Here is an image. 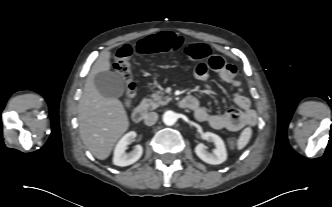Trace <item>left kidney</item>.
I'll list each match as a JSON object with an SVG mask.
<instances>
[{
    "label": "left kidney",
    "mask_w": 332,
    "mask_h": 207,
    "mask_svg": "<svg viewBox=\"0 0 332 207\" xmlns=\"http://www.w3.org/2000/svg\"><path fill=\"white\" fill-rule=\"evenodd\" d=\"M203 139L212 141L215 149L212 153L205 150V146L200 143L195 147L196 155L204 162L212 165L223 163L227 159V152L223 140L216 134L206 132L202 135Z\"/></svg>",
    "instance_id": "5707ae66"
}]
</instances>
